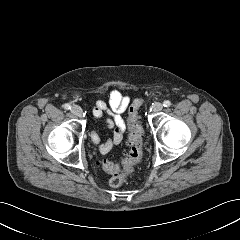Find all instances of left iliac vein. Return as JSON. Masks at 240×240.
<instances>
[{
  "instance_id": "4c4485c4",
  "label": "left iliac vein",
  "mask_w": 240,
  "mask_h": 240,
  "mask_svg": "<svg viewBox=\"0 0 240 240\" xmlns=\"http://www.w3.org/2000/svg\"><path fill=\"white\" fill-rule=\"evenodd\" d=\"M163 109V104L160 102H156L153 106H152V111L153 112H159Z\"/></svg>"
}]
</instances>
